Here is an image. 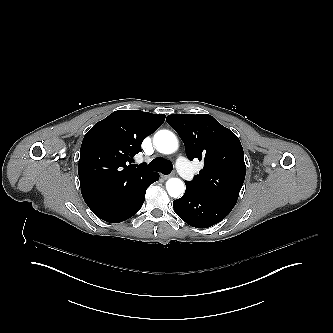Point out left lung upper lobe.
<instances>
[{
    "instance_id": "left-lung-upper-lobe-1",
    "label": "left lung upper lobe",
    "mask_w": 333,
    "mask_h": 333,
    "mask_svg": "<svg viewBox=\"0 0 333 333\" xmlns=\"http://www.w3.org/2000/svg\"><path fill=\"white\" fill-rule=\"evenodd\" d=\"M166 120L183 140L188 159L204 161V168L185 184L202 194L237 201L246 175L238 137L208 114H174Z\"/></svg>"
}]
</instances>
